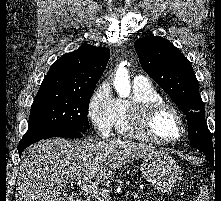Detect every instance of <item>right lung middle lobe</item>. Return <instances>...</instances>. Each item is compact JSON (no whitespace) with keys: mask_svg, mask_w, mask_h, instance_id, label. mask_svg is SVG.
<instances>
[{"mask_svg":"<svg viewBox=\"0 0 221 201\" xmlns=\"http://www.w3.org/2000/svg\"><path fill=\"white\" fill-rule=\"evenodd\" d=\"M93 91L39 90L31 106L27 133L53 128L85 132L89 129L87 110Z\"/></svg>","mask_w":221,"mask_h":201,"instance_id":"obj_1","label":"right lung middle lobe"}]
</instances>
